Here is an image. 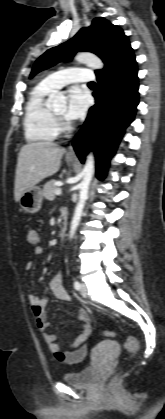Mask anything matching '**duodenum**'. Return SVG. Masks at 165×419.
<instances>
[{"instance_id":"obj_1","label":"duodenum","mask_w":165,"mask_h":419,"mask_svg":"<svg viewBox=\"0 0 165 419\" xmlns=\"http://www.w3.org/2000/svg\"><path fill=\"white\" fill-rule=\"evenodd\" d=\"M62 227L60 230V239L63 240L67 233V215L65 212L62 214Z\"/></svg>"}]
</instances>
